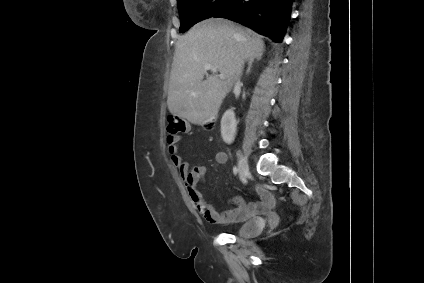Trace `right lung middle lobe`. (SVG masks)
<instances>
[{
    "label": "right lung middle lobe",
    "mask_w": 424,
    "mask_h": 283,
    "mask_svg": "<svg viewBox=\"0 0 424 283\" xmlns=\"http://www.w3.org/2000/svg\"><path fill=\"white\" fill-rule=\"evenodd\" d=\"M181 21L179 31L184 33L194 24L213 17L224 10L232 0H177Z\"/></svg>",
    "instance_id": "right-lung-middle-lobe-1"
}]
</instances>
